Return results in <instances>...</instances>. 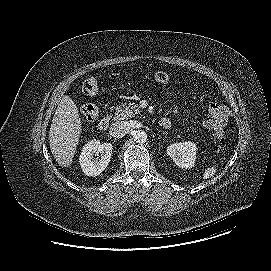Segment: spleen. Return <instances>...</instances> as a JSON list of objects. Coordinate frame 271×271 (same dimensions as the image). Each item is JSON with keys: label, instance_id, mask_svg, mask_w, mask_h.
<instances>
[{"label": "spleen", "instance_id": "1", "mask_svg": "<svg viewBox=\"0 0 271 271\" xmlns=\"http://www.w3.org/2000/svg\"><path fill=\"white\" fill-rule=\"evenodd\" d=\"M217 168L215 166H210L207 169H205L202 178L204 180L209 179L211 177H213L216 173H217Z\"/></svg>", "mask_w": 271, "mask_h": 271}]
</instances>
